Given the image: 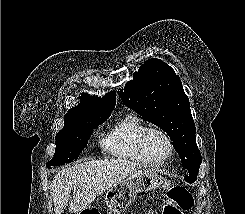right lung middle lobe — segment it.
I'll use <instances>...</instances> for the list:
<instances>
[{"mask_svg":"<svg viewBox=\"0 0 245 214\" xmlns=\"http://www.w3.org/2000/svg\"><path fill=\"white\" fill-rule=\"evenodd\" d=\"M109 116L110 114H88L73 118L66 129L57 133L55 155L47 162L46 167L60 166L77 160L87 146L93 129Z\"/></svg>","mask_w":245,"mask_h":214,"instance_id":"dd1d6c3e","label":"right lung middle lobe"}]
</instances>
